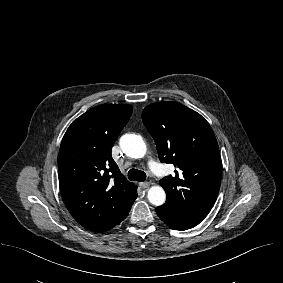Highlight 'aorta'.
<instances>
[{"label":"aorta","mask_w":283,"mask_h":283,"mask_svg":"<svg viewBox=\"0 0 283 283\" xmlns=\"http://www.w3.org/2000/svg\"><path fill=\"white\" fill-rule=\"evenodd\" d=\"M120 147L126 156L138 159L146 154V144L141 136L125 134L120 138ZM149 202L155 206H161L166 200L164 189L159 186H152L147 193Z\"/></svg>","instance_id":"1"}]
</instances>
